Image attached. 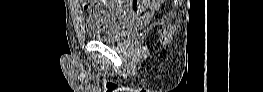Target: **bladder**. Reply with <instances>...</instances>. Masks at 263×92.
<instances>
[{
	"label": "bladder",
	"instance_id": "31cf9c89",
	"mask_svg": "<svg viewBox=\"0 0 263 92\" xmlns=\"http://www.w3.org/2000/svg\"><path fill=\"white\" fill-rule=\"evenodd\" d=\"M136 18L134 10L108 6L88 15L84 27L92 40L115 42L134 26Z\"/></svg>",
	"mask_w": 263,
	"mask_h": 92
}]
</instances>
